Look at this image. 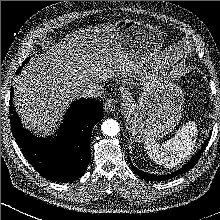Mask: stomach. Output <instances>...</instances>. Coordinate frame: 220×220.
I'll list each match as a JSON object with an SVG mask.
<instances>
[{
	"label": "stomach",
	"mask_w": 220,
	"mask_h": 220,
	"mask_svg": "<svg viewBox=\"0 0 220 220\" xmlns=\"http://www.w3.org/2000/svg\"><path fill=\"white\" fill-rule=\"evenodd\" d=\"M116 33L130 69L138 73L143 92L128 108L129 130L137 142L155 141L170 133L182 117L184 94L161 60V31L132 19L117 21Z\"/></svg>",
	"instance_id": "obj_1"
}]
</instances>
